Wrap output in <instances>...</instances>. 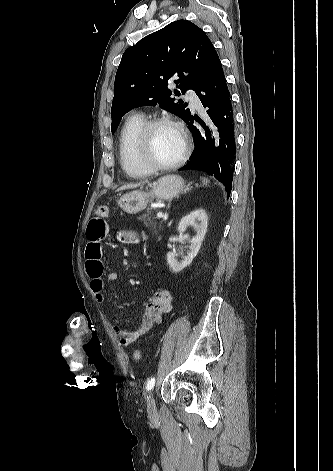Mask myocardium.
Segmentation results:
<instances>
[{
  "mask_svg": "<svg viewBox=\"0 0 333 471\" xmlns=\"http://www.w3.org/2000/svg\"><path fill=\"white\" fill-rule=\"evenodd\" d=\"M161 125H169L173 127L179 133L182 140V150L180 155L174 161L167 164L157 163L151 155V135L153 131ZM190 148V139L183 126L169 117L154 118L145 122L139 133L137 141L138 159L140 163L149 169L152 173L159 171H170L178 168L188 158Z\"/></svg>",
  "mask_w": 333,
  "mask_h": 471,
  "instance_id": "myocardium-1",
  "label": "myocardium"
}]
</instances>
